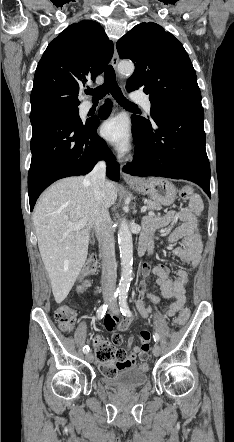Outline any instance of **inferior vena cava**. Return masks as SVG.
I'll return each instance as SVG.
<instances>
[{
    "mask_svg": "<svg viewBox=\"0 0 234 442\" xmlns=\"http://www.w3.org/2000/svg\"><path fill=\"white\" fill-rule=\"evenodd\" d=\"M106 163L98 162L93 170L85 177L95 196L100 197L105 187ZM95 232L101 245L103 263L101 285L103 296L110 298L115 292L117 264L115 259L114 231L107 208H102L95 221Z\"/></svg>",
    "mask_w": 234,
    "mask_h": 442,
    "instance_id": "1",
    "label": "inferior vena cava"
}]
</instances>
